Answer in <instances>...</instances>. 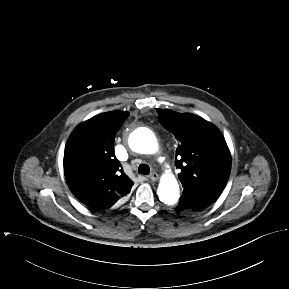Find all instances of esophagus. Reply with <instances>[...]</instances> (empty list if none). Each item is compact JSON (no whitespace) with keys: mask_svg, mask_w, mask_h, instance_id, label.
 <instances>
[{"mask_svg":"<svg viewBox=\"0 0 289 289\" xmlns=\"http://www.w3.org/2000/svg\"><path fill=\"white\" fill-rule=\"evenodd\" d=\"M148 177L152 181H157L159 179V175L156 172L151 173Z\"/></svg>","mask_w":289,"mask_h":289,"instance_id":"1","label":"esophagus"}]
</instances>
